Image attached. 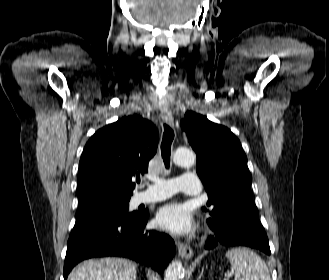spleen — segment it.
I'll return each instance as SVG.
<instances>
[{
  "label": "spleen",
  "mask_w": 329,
  "mask_h": 280,
  "mask_svg": "<svg viewBox=\"0 0 329 280\" xmlns=\"http://www.w3.org/2000/svg\"><path fill=\"white\" fill-rule=\"evenodd\" d=\"M235 280H271L265 262L245 247L233 248L226 253Z\"/></svg>",
  "instance_id": "obj_1"
}]
</instances>
